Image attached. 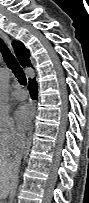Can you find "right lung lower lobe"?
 Wrapping results in <instances>:
<instances>
[{"instance_id":"obj_1","label":"right lung lower lobe","mask_w":89,"mask_h":203,"mask_svg":"<svg viewBox=\"0 0 89 203\" xmlns=\"http://www.w3.org/2000/svg\"><path fill=\"white\" fill-rule=\"evenodd\" d=\"M29 91L32 98H37V83L35 79L29 81Z\"/></svg>"}]
</instances>
